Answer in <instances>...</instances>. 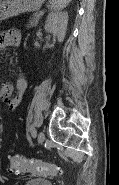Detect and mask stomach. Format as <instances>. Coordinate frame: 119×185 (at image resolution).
I'll list each match as a JSON object with an SVG mask.
<instances>
[{"instance_id":"stomach-1","label":"stomach","mask_w":119,"mask_h":185,"mask_svg":"<svg viewBox=\"0 0 119 185\" xmlns=\"http://www.w3.org/2000/svg\"><path fill=\"white\" fill-rule=\"evenodd\" d=\"M45 0H0V21L20 13L37 11Z\"/></svg>"}]
</instances>
